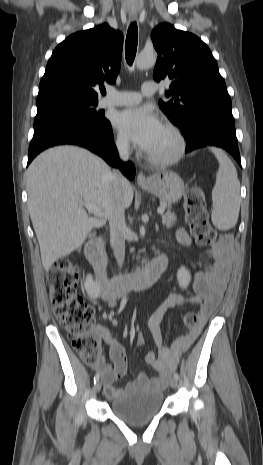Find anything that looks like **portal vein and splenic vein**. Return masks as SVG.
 <instances>
[{
  "mask_svg": "<svg viewBox=\"0 0 263 465\" xmlns=\"http://www.w3.org/2000/svg\"><path fill=\"white\" fill-rule=\"evenodd\" d=\"M81 205L85 206V208L88 210V212H91L95 216H98V217L102 216V211L98 206L92 205V204H89V203H81ZM164 211H165V209L163 207H159L158 210H157V212L159 214H161V215L164 213Z\"/></svg>",
  "mask_w": 263,
  "mask_h": 465,
  "instance_id": "1",
  "label": "portal vein and splenic vein"
}]
</instances>
